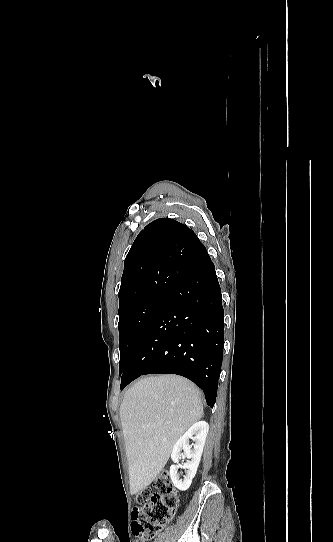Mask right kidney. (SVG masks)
<instances>
[{"instance_id":"1","label":"right kidney","mask_w":333,"mask_h":542,"mask_svg":"<svg viewBox=\"0 0 333 542\" xmlns=\"http://www.w3.org/2000/svg\"><path fill=\"white\" fill-rule=\"evenodd\" d=\"M208 430L209 426L207 422H196V424H193V426L185 432L182 438L177 440L172 450L171 460H173L174 466H170V478L175 488H178L181 492H186V490L190 488L192 480L196 476ZM191 438L194 440L192 446L189 444ZM181 450H184V454H181ZM180 458H190V460H187V462L181 466V468H185L186 470V476H184L183 480H180L179 474H177Z\"/></svg>"}]
</instances>
